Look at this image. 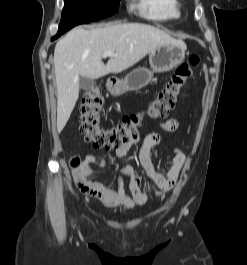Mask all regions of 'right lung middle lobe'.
I'll return each mask as SVG.
<instances>
[{"mask_svg":"<svg viewBox=\"0 0 247 265\" xmlns=\"http://www.w3.org/2000/svg\"><path fill=\"white\" fill-rule=\"evenodd\" d=\"M120 0H65L62 22L108 17L118 11Z\"/></svg>","mask_w":247,"mask_h":265,"instance_id":"dd1d6c3e","label":"right lung middle lobe"}]
</instances>
